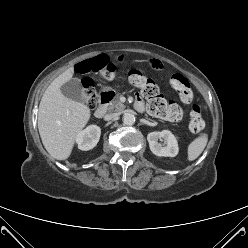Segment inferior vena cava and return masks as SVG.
Returning <instances> with one entry per match:
<instances>
[{
    "instance_id": "602c4592",
    "label": "inferior vena cava",
    "mask_w": 248,
    "mask_h": 248,
    "mask_svg": "<svg viewBox=\"0 0 248 248\" xmlns=\"http://www.w3.org/2000/svg\"><path fill=\"white\" fill-rule=\"evenodd\" d=\"M117 116H118L117 113H109V114H106V115L104 116V120H106V121L113 120V119H115Z\"/></svg>"
}]
</instances>
